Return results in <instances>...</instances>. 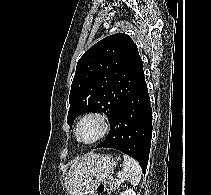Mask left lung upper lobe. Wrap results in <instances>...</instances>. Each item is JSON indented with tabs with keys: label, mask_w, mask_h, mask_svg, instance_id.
<instances>
[{
	"label": "left lung upper lobe",
	"mask_w": 211,
	"mask_h": 195,
	"mask_svg": "<svg viewBox=\"0 0 211 195\" xmlns=\"http://www.w3.org/2000/svg\"><path fill=\"white\" fill-rule=\"evenodd\" d=\"M144 79L142 59L124 33L94 44L79 59L72 82L67 123L85 112H103L109 122Z\"/></svg>",
	"instance_id": "5c2ea615"
}]
</instances>
